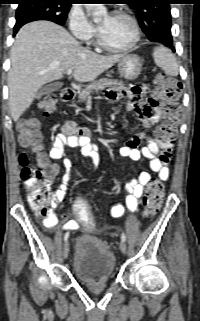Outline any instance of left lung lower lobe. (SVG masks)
Wrapping results in <instances>:
<instances>
[{
  "label": "left lung lower lobe",
  "mask_w": 200,
  "mask_h": 321,
  "mask_svg": "<svg viewBox=\"0 0 200 321\" xmlns=\"http://www.w3.org/2000/svg\"><path fill=\"white\" fill-rule=\"evenodd\" d=\"M160 43L164 44L167 47L172 48V50L175 51L174 46H173V40H164Z\"/></svg>",
  "instance_id": "obj_1"
}]
</instances>
